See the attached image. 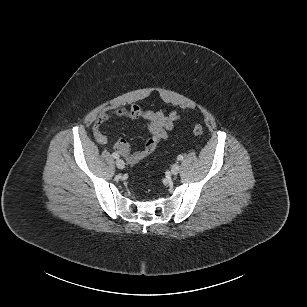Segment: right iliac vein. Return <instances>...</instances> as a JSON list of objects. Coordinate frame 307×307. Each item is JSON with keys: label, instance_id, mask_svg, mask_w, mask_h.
<instances>
[{"label": "right iliac vein", "instance_id": "right-iliac-vein-1", "mask_svg": "<svg viewBox=\"0 0 307 307\" xmlns=\"http://www.w3.org/2000/svg\"><path fill=\"white\" fill-rule=\"evenodd\" d=\"M116 166L119 169H123L125 167V163H124V161L122 159H117L116 160Z\"/></svg>", "mask_w": 307, "mask_h": 307}]
</instances>
